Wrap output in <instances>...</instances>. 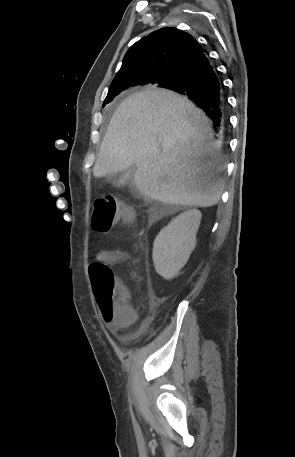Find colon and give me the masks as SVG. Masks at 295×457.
<instances>
[{
	"instance_id": "1",
	"label": "colon",
	"mask_w": 295,
	"mask_h": 457,
	"mask_svg": "<svg viewBox=\"0 0 295 457\" xmlns=\"http://www.w3.org/2000/svg\"><path fill=\"white\" fill-rule=\"evenodd\" d=\"M131 216V211L114 196L104 195L95 201L91 223L95 231L107 233L120 218L130 219ZM89 275L103 319L127 320L130 300L128 288L117 282L111 269L102 262L91 263Z\"/></svg>"
}]
</instances>
